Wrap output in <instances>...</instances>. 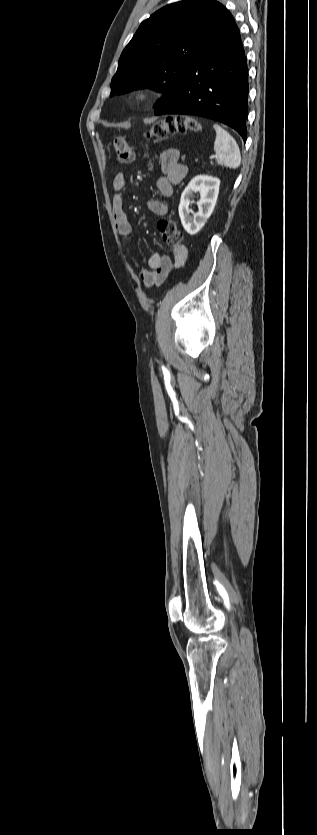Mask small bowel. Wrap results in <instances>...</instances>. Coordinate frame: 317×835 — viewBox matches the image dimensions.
<instances>
[{
    "label": "small bowel",
    "instance_id": "1",
    "mask_svg": "<svg viewBox=\"0 0 317 835\" xmlns=\"http://www.w3.org/2000/svg\"><path fill=\"white\" fill-rule=\"evenodd\" d=\"M160 164L164 176L157 179L156 187L163 198H169L173 194V186L178 185L185 178L188 167L179 161V151L175 148H168L160 153ZM126 188V177L124 173H118L113 179L115 195L112 201V217L117 232L130 239L133 236L132 225L123 207V192ZM148 209L162 216L167 213V204L159 199H151L147 202ZM188 258V251L185 246L173 248V257L159 253L152 254L148 259V266L140 272V279L146 287L159 285L167 274L174 268L185 264Z\"/></svg>",
    "mask_w": 317,
    "mask_h": 835
}]
</instances>
